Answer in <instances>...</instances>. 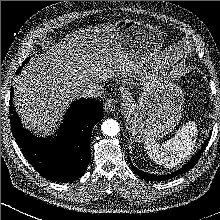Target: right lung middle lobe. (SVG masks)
Listing matches in <instances>:
<instances>
[{
  "label": "right lung middle lobe",
  "mask_w": 220,
  "mask_h": 220,
  "mask_svg": "<svg viewBox=\"0 0 220 220\" xmlns=\"http://www.w3.org/2000/svg\"><path fill=\"white\" fill-rule=\"evenodd\" d=\"M28 61H29V58L28 59H26L25 61H24V64H26V63H28ZM23 64V65H24ZM21 70V67H19V69L17 70V72L16 73H19V71Z\"/></svg>",
  "instance_id": "obj_1"
}]
</instances>
